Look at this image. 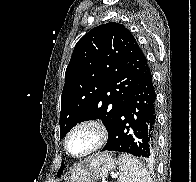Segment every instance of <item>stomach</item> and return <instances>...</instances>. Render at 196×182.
<instances>
[{
  "mask_svg": "<svg viewBox=\"0 0 196 182\" xmlns=\"http://www.w3.org/2000/svg\"><path fill=\"white\" fill-rule=\"evenodd\" d=\"M116 167V161L108 153H98L83 161L77 169L66 178V182H94L105 177Z\"/></svg>",
  "mask_w": 196,
  "mask_h": 182,
  "instance_id": "0dacf381",
  "label": "stomach"
}]
</instances>
